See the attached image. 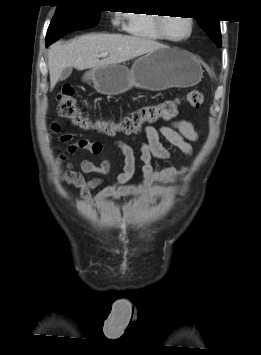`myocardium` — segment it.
Returning a JSON list of instances; mask_svg holds the SVG:
<instances>
[{"mask_svg": "<svg viewBox=\"0 0 261 355\" xmlns=\"http://www.w3.org/2000/svg\"><path fill=\"white\" fill-rule=\"evenodd\" d=\"M163 16H165V15H163ZM163 16L157 17V28L165 40L170 41V42H174V43H179V42H183V41L189 39L192 36V34L194 32V27H195L194 19L192 17H190V16L184 17L189 22L190 29H189L188 35H186L185 37H182V38H172L167 34L166 29H165V22L167 20V17H163Z\"/></svg>", "mask_w": 261, "mask_h": 355, "instance_id": "obj_1", "label": "myocardium"}]
</instances>
